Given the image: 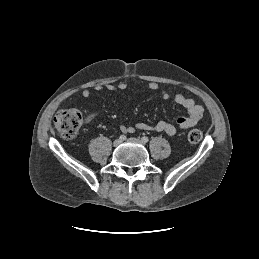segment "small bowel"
Returning <instances> with one entry per match:
<instances>
[{"mask_svg":"<svg viewBox=\"0 0 259 259\" xmlns=\"http://www.w3.org/2000/svg\"><path fill=\"white\" fill-rule=\"evenodd\" d=\"M103 88L109 91H124L127 89V85L124 82H119L117 84L107 83L104 85L98 84L95 86V90L97 91H100ZM148 88L151 91H156L159 89V84L157 82H150L148 84ZM90 95L91 92L89 89L82 91V96L84 98H88ZM160 96L164 100H169L172 98L171 93L168 91H161ZM173 99L177 105L183 107L187 111V116L179 117L176 121V125L166 121H158L155 124L139 122L135 126L121 125V132L130 134L135 132L136 129H140L145 131L162 132L169 136H173L176 134L177 129H188L200 121L204 111L201 105L181 93L175 94Z\"/></svg>","mask_w":259,"mask_h":259,"instance_id":"c3829d8e","label":"small bowel"}]
</instances>
